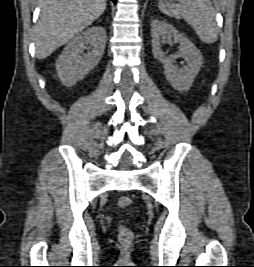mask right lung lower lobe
<instances>
[{"instance_id":"obj_1","label":"right lung lower lobe","mask_w":254,"mask_h":267,"mask_svg":"<svg viewBox=\"0 0 254 267\" xmlns=\"http://www.w3.org/2000/svg\"><path fill=\"white\" fill-rule=\"evenodd\" d=\"M116 4V0H112Z\"/></svg>"}]
</instances>
